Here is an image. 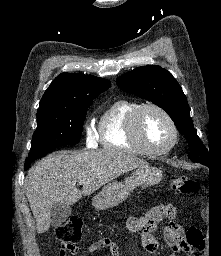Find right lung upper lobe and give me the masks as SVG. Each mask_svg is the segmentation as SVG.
I'll list each match as a JSON object with an SVG mask.
<instances>
[{"instance_id": "right-lung-upper-lobe-1", "label": "right lung upper lobe", "mask_w": 221, "mask_h": 256, "mask_svg": "<svg viewBox=\"0 0 221 256\" xmlns=\"http://www.w3.org/2000/svg\"><path fill=\"white\" fill-rule=\"evenodd\" d=\"M111 86L110 81L79 73H61L45 91L37 112L71 109L84 98H95Z\"/></svg>"}]
</instances>
